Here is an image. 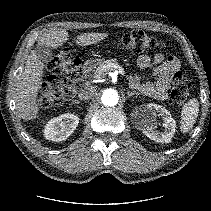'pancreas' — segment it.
<instances>
[{"label": "pancreas", "instance_id": "pancreas-1", "mask_svg": "<svg viewBox=\"0 0 211 211\" xmlns=\"http://www.w3.org/2000/svg\"><path fill=\"white\" fill-rule=\"evenodd\" d=\"M111 65H118L117 59L112 58L105 61H101L96 70H94L95 75H99L100 77H104L108 71L114 70Z\"/></svg>", "mask_w": 211, "mask_h": 211}]
</instances>
